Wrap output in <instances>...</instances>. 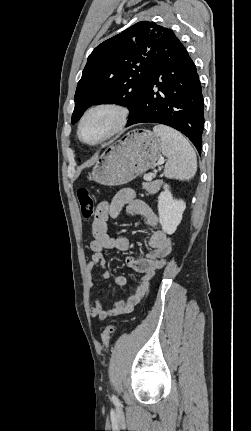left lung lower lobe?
Masks as SVG:
<instances>
[{
  "instance_id": "left-lung-lower-lobe-1",
  "label": "left lung lower lobe",
  "mask_w": 251,
  "mask_h": 431,
  "mask_svg": "<svg viewBox=\"0 0 251 431\" xmlns=\"http://www.w3.org/2000/svg\"><path fill=\"white\" fill-rule=\"evenodd\" d=\"M160 123L187 136L199 154L204 128V100L198 73L179 39L156 51L139 103L126 126Z\"/></svg>"
}]
</instances>
